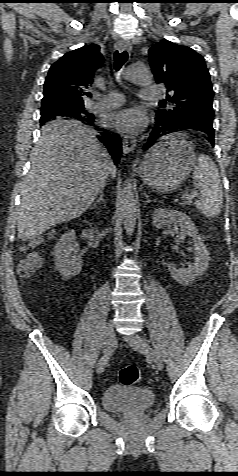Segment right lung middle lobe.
I'll list each match as a JSON object with an SVG mask.
<instances>
[{
  "mask_svg": "<svg viewBox=\"0 0 238 476\" xmlns=\"http://www.w3.org/2000/svg\"><path fill=\"white\" fill-rule=\"evenodd\" d=\"M74 118L81 121H94V115L88 113L84 105H72L56 101H43L41 106V120L44 122L57 118Z\"/></svg>",
  "mask_w": 238,
  "mask_h": 476,
  "instance_id": "right-lung-middle-lobe-1",
  "label": "right lung middle lobe"
}]
</instances>
